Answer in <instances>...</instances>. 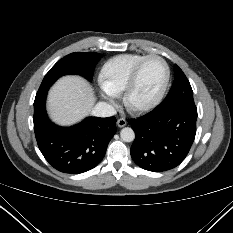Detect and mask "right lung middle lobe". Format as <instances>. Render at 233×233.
<instances>
[{
  "label": "right lung middle lobe",
  "instance_id": "obj_1",
  "mask_svg": "<svg viewBox=\"0 0 233 233\" xmlns=\"http://www.w3.org/2000/svg\"><path fill=\"white\" fill-rule=\"evenodd\" d=\"M100 59L101 54L88 52H75L65 56L45 75L36 96L47 92L58 78L67 74H78L91 81Z\"/></svg>",
  "mask_w": 233,
  "mask_h": 233
}]
</instances>
